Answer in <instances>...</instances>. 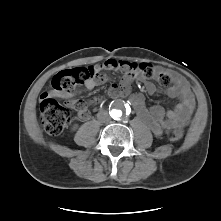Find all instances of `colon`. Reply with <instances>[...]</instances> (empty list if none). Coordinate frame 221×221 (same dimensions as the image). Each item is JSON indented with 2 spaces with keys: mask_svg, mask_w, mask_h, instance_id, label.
<instances>
[{
  "mask_svg": "<svg viewBox=\"0 0 221 221\" xmlns=\"http://www.w3.org/2000/svg\"><path fill=\"white\" fill-rule=\"evenodd\" d=\"M132 72H138L143 77L155 79L162 86L177 83V78L166 71H160L148 63L132 64ZM95 77L93 67H77L57 72L51 78L48 88L40 97V116L43 129L50 134L60 133L71 121L72 111L67 105L59 103L54 96L63 92L72 91L77 85ZM120 90H116L117 96ZM181 132L174 130L171 135L172 141H178Z\"/></svg>",
  "mask_w": 221,
  "mask_h": 221,
  "instance_id": "colon-1",
  "label": "colon"
}]
</instances>
